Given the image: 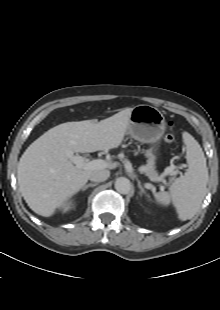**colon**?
<instances>
[{
	"mask_svg": "<svg viewBox=\"0 0 220 310\" xmlns=\"http://www.w3.org/2000/svg\"><path fill=\"white\" fill-rule=\"evenodd\" d=\"M175 140V135L173 133H169L165 136V142L167 144H172Z\"/></svg>",
	"mask_w": 220,
	"mask_h": 310,
	"instance_id": "colon-1",
	"label": "colon"
}]
</instances>
